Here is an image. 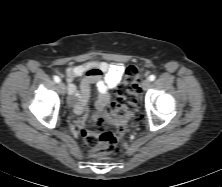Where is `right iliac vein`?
<instances>
[{"label": "right iliac vein", "instance_id": "right-iliac-vein-1", "mask_svg": "<svg viewBox=\"0 0 222 187\" xmlns=\"http://www.w3.org/2000/svg\"><path fill=\"white\" fill-rule=\"evenodd\" d=\"M58 87H59L60 92L64 95L66 93L65 84L63 82H59Z\"/></svg>", "mask_w": 222, "mask_h": 187}]
</instances>
